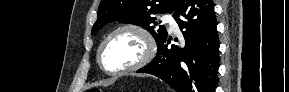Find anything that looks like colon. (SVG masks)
<instances>
[{"label":"colon","instance_id":"1","mask_svg":"<svg viewBox=\"0 0 289 92\" xmlns=\"http://www.w3.org/2000/svg\"><path fill=\"white\" fill-rule=\"evenodd\" d=\"M89 92H101L98 88H92L89 90Z\"/></svg>","mask_w":289,"mask_h":92}]
</instances>
